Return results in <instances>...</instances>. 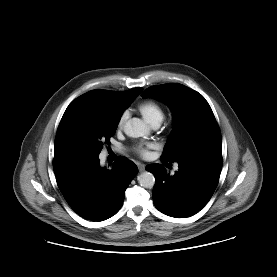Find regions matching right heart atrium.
<instances>
[{
    "label": "right heart atrium",
    "mask_w": 277,
    "mask_h": 277,
    "mask_svg": "<svg viewBox=\"0 0 277 277\" xmlns=\"http://www.w3.org/2000/svg\"><path fill=\"white\" fill-rule=\"evenodd\" d=\"M127 119V112H123L117 121V128L122 129Z\"/></svg>",
    "instance_id": "right-heart-atrium-1"
}]
</instances>
